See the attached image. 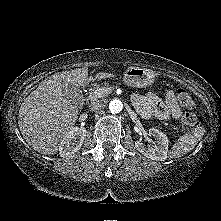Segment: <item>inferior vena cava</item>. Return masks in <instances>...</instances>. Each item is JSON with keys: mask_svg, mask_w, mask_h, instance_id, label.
<instances>
[{"mask_svg": "<svg viewBox=\"0 0 221 221\" xmlns=\"http://www.w3.org/2000/svg\"><path fill=\"white\" fill-rule=\"evenodd\" d=\"M105 107L104 100H97L90 105V111L97 112Z\"/></svg>", "mask_w": 221, "mask_h": 221, "instance_id": "602c4592", "label": "inferior vena cava"}]
</instances>
